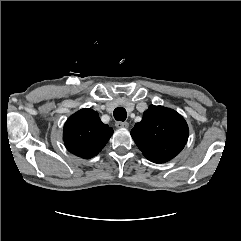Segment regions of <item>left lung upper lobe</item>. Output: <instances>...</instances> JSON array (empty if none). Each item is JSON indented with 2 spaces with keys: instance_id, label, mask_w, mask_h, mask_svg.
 <instances>
[{
  "instance_id": "5c2ea615",
  "label": "left lung upper lobe",
  "mask_w": 241,
  "mask_h": 241,
  "mask_svg": "<svg viewBox=\"0 0 241 241\" xmlns=\"http://www.w3.org/2000/svg\"><path fill=\"white\" fill-rule=\"evenodd\" d=\"M189 129L184 118L163 106L150 105L141 122L131 131L138 148L148 160H171L184 148Z\"/></svg>"
}]
</instances>
